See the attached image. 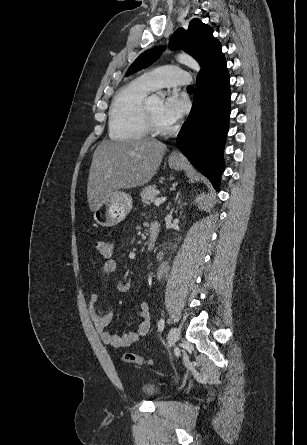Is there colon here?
<instances>
[{
  "label": "colon",
  "mask_w": 307,
  "mask_h": 445,
  "mask_svg": "<svg viewBox=\"0 0 307 445\" xmlns=\"http://www.w3.org/2000/svg\"><path fill=\"white\" fill-rule=\"evenodd\" d=\"M95 246L102 258L109 259L112 256L113 245L110 241L97 240ZM122 360L126 363H133L141 366H150L155 363L152 359L143 358L131 352H125L122 355Z\"/></svg>",
  "instance_id": "5ec220e1"
}]
</instances>
